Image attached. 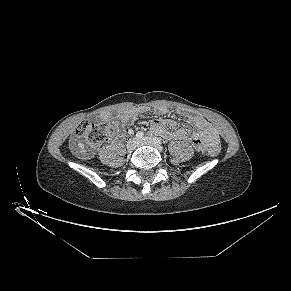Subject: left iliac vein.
I'll return each instance as SVG.
<instances>
[{"instance_id":"obj_1","label":"left iliac vein","mask_w":291,"mask_h":291,"mask_svg":"<svg viewBox=\"0 0 291 291\" xmlns=\"http://www.w3.org/2000/svg\"><path fill=\"white\" fill-rule=\"evenodd\" d=\"M142 145H150V146H153L160 151L162 150L161 145L155 144L154 141L149 137H145V138L138 140V146H142Z\"/></svg>"}]
</instances>
